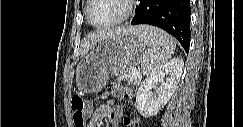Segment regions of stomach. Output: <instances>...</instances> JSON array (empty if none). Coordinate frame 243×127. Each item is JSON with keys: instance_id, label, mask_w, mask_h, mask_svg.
I'll list each match as a JSON object with an SVG mask.
<instances>
[{"instance_id": "1", "label": "stomach", "mask_w": 243, "mask_h": 127, "mask_svg": "<svg viewBox=\"0 0 243 127\" xmlns=\"http://www.w3.org/2000/svg\"><path fill=\"white\" fill-rule=\"evenodd\" d=\"M138 30L116 33L96 42L76 68V84L86 93L101 90L110 74H125L143 62L147 51Z\"/></svg>"}]
</instances>
